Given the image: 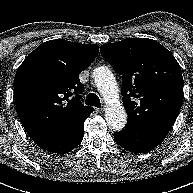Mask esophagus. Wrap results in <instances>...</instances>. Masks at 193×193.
Returning <instances> with one entry per match:
<instances>
[{
  "instance_id": "esophagus-1",
  "label": "esophagus",
  "mask_w": 193,
  "mask_h": 193,
  "mask_svg": "<svg viewBox=\"0 0 193 193\" xmlns=\"http://www.w3.org/2000/svg\"><path fill=\"white\" fill-rule=\"evenodd\" d=\"M96 111L102 113L104 111V107L97 108Z\"/></svg>"
}]
</instances>
